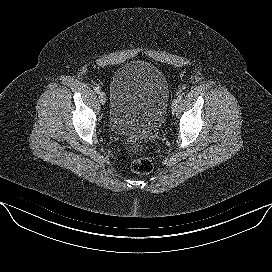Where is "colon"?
<instances>
[{
  "label": "colon",
  "mask_w": 272,
  "mask_h": 272,
  "mask_svg": "<svg viewBox=\"0 0 272 272\" xmlns=\"http://www.w3.org/2000/svg\"><path fill=\"white\" fill-rule=\"evenodd\" d=\"M131 151L135 154L140 152V145L137 143L132 144ZM153 169L152 161L144 156H136L131 162V170L137 174H149Z\"/></svg>",
  "instance_id": "colon-1"
}]
</instances>
